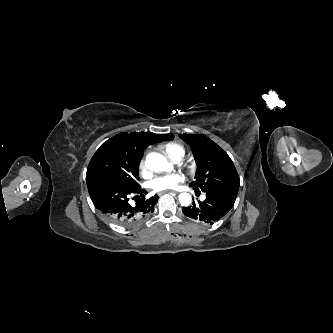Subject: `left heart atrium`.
<instances>
[{
	"mask_svg": "<svg viewBox=\"0 0 333 333\" xmlns=\"http://www.w3.org/2000/svg\"><path fill=\"white\" fill-rule=\"evenodd\" d=\"M183 180L184 178L181 174L174 172L157 176L151 181L150 184L156 191H165L176 188Z\"/></svg>",
	"mask_w": 333,
	"mask_h": 333,
	"instance_id": "39dd6f15",
	"label": "left heart atrium"
}]
</instances>
